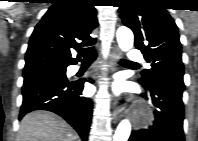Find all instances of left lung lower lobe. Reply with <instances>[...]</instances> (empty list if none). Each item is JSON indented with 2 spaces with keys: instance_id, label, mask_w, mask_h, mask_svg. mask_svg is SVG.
I'll list each match as a JSON object with an SVG mask.
<instances>
[{
  "instance_id": "0a47b994",
  "label": "left lung lower lobe",
  "mask_w": 198,
  "mask_h": 141,
  "mask_svg": "<svg viewBox=\"0 0 198 141\" xmlns=\"http://www.w3.org/2000/svg\"><path fill=\"white\" fill-rule=\"evenodd\" d=\"M185 85L173 78H159L143 97L151 99L155 121L151 128L132 132L128 141H184V108L182 94Z\"/></svg>"
}]
</instances>
